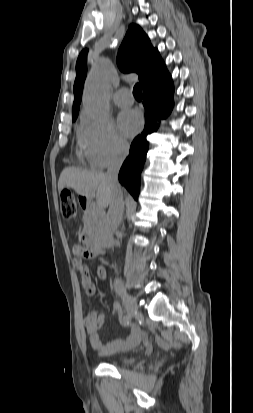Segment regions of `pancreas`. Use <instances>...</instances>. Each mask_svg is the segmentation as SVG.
<instances>
[{"mask_svg":"<svg viewBox=\"0 0 253 413\" xmlns=\"http://www.w3.org/2000/svg\"><path fill=\"white\" fill-rule=\"evenodd\" d=\"M101 220V215L99 212L96 211H88L86 213V216L84 218V223L85 224H93L95 226H98V224L100 223Z\"/></svg>","mask_w":253,"mask_h":413,"instance_id":"pancreas-1","label":"pancreas"}]
</instances>
